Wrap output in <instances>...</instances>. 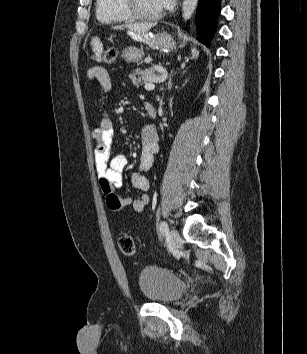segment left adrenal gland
I'll return each mask as SVG.
<instances>
[{"mask_svg":"<svg viewBox=\"0 0 307 354\" xmlns=\"http://www.w3.org/2000/svg\"><path fill=\"white\" fill-rule=\"evenodd\" d=\"M183 73H185V71H183ZM172 88V83H171V76L169 78V82H168V89L170 90Z\"/></svg>","mask_w":307,"mask_h":354,"instance_id":"obj_1","label":"left adrenal gland"}]
</instances>
